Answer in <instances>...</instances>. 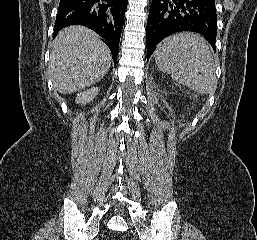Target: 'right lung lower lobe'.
<instances>
[{
	"mask_svg": "<svg viewBox=\"0 0 257 240\" xmlns=\"http://www.w3.org/2000/svg\"><path fill=\"white\" fill-rule=\"evenodd\" d=\"M127 0H60L54 37L62 28L83 25L104 38L117 61Z\"/></svg>",
	"mask_w": 257,
	"mask_h": 240,
	"instance_id": "98d812e1",
	"label": "right lung lower lobe"
}]
</instances>
